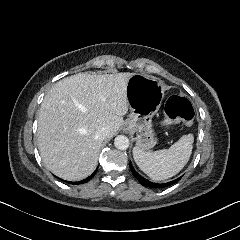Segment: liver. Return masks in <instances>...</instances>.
Here are the masks:
<instances>
[{
  "label": "liver",
  "instance_id": "6515ba94",
  "mask_svg": "<svg viewBox=\"0 0 240 240\" xmlns=\"http://www.w3.org/2000/svg\"><path fill=\"white\" fill-rule=\"evenodd\" d=\"M133 74L77 73L49 89L38 114L37 144L52 174L80 181L95 171L103 144L96 130L106 128L109 139L124 126L126 84Z\"/></svg>",
  "mask_w": 240,
  "mask_h": 240
}]
</instances>
